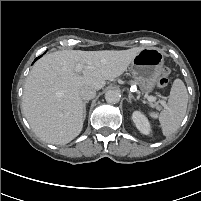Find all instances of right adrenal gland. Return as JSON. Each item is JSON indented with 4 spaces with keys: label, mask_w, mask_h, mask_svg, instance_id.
<instances>
[{
    "label": "right adrenal gland",
    "mask_w": 201,
    "mask_h": 201,
    "mask_svg": "<svg viewBox=\"0 0 201 201\" xmlns=\"http://www.w3.org/2000/svg\"><path fill=\"white\" fill-rule=\"evenodd\" d=\"M86 103H88V101H84V119H85V117H86Z\"/></svg>",
    "instance_id": "right-adrenal-gland-1"
}]
</instances>
